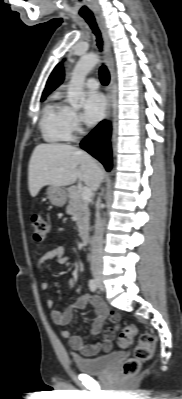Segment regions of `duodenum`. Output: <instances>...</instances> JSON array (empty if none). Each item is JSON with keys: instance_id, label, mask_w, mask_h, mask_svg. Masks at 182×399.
Listing matches in <instances>:
<instances>
[{"instance_id": "obj_1", "label": "duodenum", "mask_w": 182, "mask_h": 399, "mask_svg": "<svg viewBox=\"0 0 182 399\" xmlns=\"http://www.w3.org/2000/svg\"><path fill=\"white\" fill-rule=\"evenodd\" d=\"M81 240H82L83 244L86 245L88 243V241H89V234L87 232H84L81 235Z\"/></svg>"}]
</instances>
